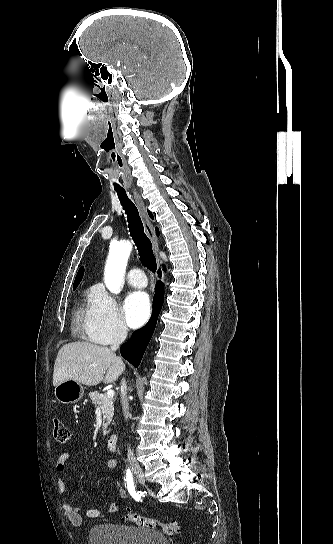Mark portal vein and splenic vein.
<instances>
[{
	"mask_svg": "<svg viewBox=\"0 0 333 544\" xmlns=\"http://www.w3.org/2000/svg\"><path fill=\"white\" fill-rule=\"evenodd\" d=\"M114 394H115V393H114L113 390H108V391L106 392V396H107L108 398H113V397H114Z\"/></svg>",
	"mask_w": 333,
	"mask_h": 544,
	"instance_id": "1",
	"label": "portal vein and splenic vein"
}]
</instances>
